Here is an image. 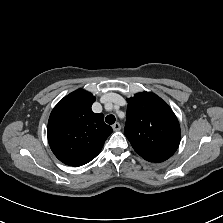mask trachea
Listing matches in <instances>:
<instances>
[{"instance_id":"trachea-1","label":"trachea","mask_w":223,"mask_h":223,"mask_svg":"<svg viewBox=\"0 0 223 223\" xmlns=\"http://www.w3.org/2000/svg\"><path fill=\"white\" fill-rule=\"evenodd\" d=\"M115 120H116V118H115V116L112 115V114L106 116V118H105V121H106L108 124H110V125L114 124Z\"/></svg>"}]
</instances>
